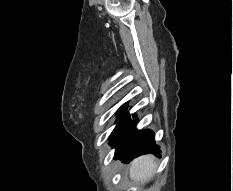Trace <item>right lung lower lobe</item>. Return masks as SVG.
<instances>
[{"label":"right lung lower lobe","mask_w":233,"mask_h":191,"mask_svg":"<svg viewBox=\"0 0 233 191\" xmlns=\"http://www.w3.org/2000/svg\"><path fill=\"white\" fill-rule=\"evenodd\" d=\"M134 122L137 118L133 115ZM129 114L125 113L110 136V144L116 148L115 158L129 163L133 158L146 153L159 156V147L154 142L151 130H136Z\"/></svg>","instance_id":"obj_1"}]
</instances>
